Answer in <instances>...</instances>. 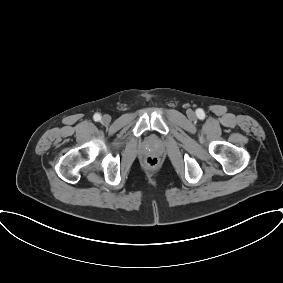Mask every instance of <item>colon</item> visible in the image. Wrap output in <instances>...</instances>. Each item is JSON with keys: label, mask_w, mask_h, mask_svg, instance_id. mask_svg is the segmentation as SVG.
Segmentation results:
<instances>
[{"label": "colon", "mask_w": 283, "mask_h": 283, "mask_svg": "<svg viewBox=\"0 0 283 283\" xmlns=\"http://www.w3.org/2000/svg\"><path fill=\"white\" fill-rule=\"evenodd\" d=\"M147 165L154 167L159 163V159L155 156H149L146 158Z\"/></svg>", "instance_id": "obj_1"}]
</instances>
